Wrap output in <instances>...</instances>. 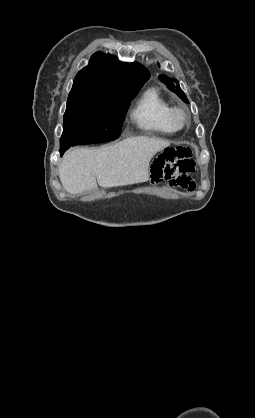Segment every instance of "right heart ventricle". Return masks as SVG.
Listing matches in <instances>:
<instances>
[{"label":"right heart ventricle","mask_w":255,"mask_h":418,"mask_svg":"<svg viewBox=\"0 0 255 418\" xmlns=\"http://www.w3.org/2000/svg\"><path fill=\"white\" fill-rule=\"evenodd\" d=\"M172 106L155 87L146 89L138 98L131 117L142 131L152 134H170L175 131L169 122Z\"/></svg>","instance_id":"1"}]
</instances>
